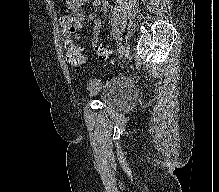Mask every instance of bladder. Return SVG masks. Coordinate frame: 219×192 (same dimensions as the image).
I'll return each instance as SVG.
<instances>
[{
  "label": "bladder",
  "mask_w": 219,
  "mask_h": 192,
  "mask_svg": "<svg viewBox=\"0 0 219 192\" xmlns=\"http://www.w3.org/2000/svg\"><path fill=\"white\" fill-rule=\"evenodd\" d=\"M99 101L108 109L120 110L127 107L136 97V87L127 80H113L101 85Z\"/></svg>",
  "instance_id": "1"
}]
</instances>
